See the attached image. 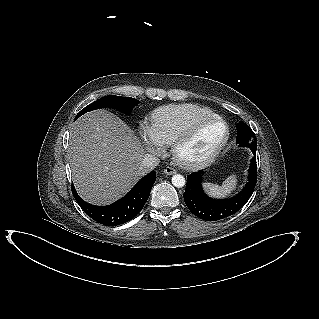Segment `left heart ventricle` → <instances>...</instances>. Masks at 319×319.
Wrapping results in <instances>:
<instances>
[{"label":"left heart ventricle","instance_id":"obj_1","mask_svg":"<svg viewBox=\"0 0 319 319\" xmlns=\"http://www.w3.org/2000/svg\"><path fill=\"white\" fill-rule=\"evenodd\" d=\"M223 125L219 122H211L203 126L197 135L182 150V154L188 158H196L208 153L222 138Z\"/></svg>","mask_w":319,"mask_h":319}]
</instances>
